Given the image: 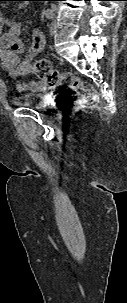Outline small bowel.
<instances>
[{
  "mask_svg": "<svg viewBox=\"0 0 127 303\" xmlns=\"http://www.w3.org/2000/svg\"><path fill=\"white\" fill-rule=\"evenodd\" d=\"M20 31L19 21L7 19L0 12V65L13 79L36 73L33 60L45 46V36L41 31L34 30L28 47L21 42ZM45 87L46 81L41 78L17 83L20 92L39 91Z\"/></svg>",
  "mask_w": 127,
  "mask_h": 303,
  "instance_id": "1",
  "label": "small bowel"
}]
</instances>
